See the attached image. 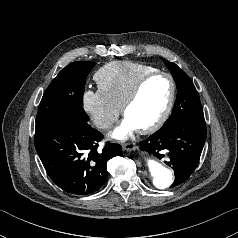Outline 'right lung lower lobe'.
<instances>
[{
    "label": "right lung lower lobe",
    "mask_w": 238,
    "mask_h": 238,
    "mask_svg": "<svg viewBox=\"0 0 238 238\" xmlns=\"http://www.w3.org/2000/svg\"><path fill=\"white\" fill-rule=\"evenodd\" d=\"M87 122L50 124L35 131V148L52 181L65 192L88 195L107 181V161L122 155L121 147L107 143Z\"/></svg>",
    "instance_id": "1"
}]
</instances>
